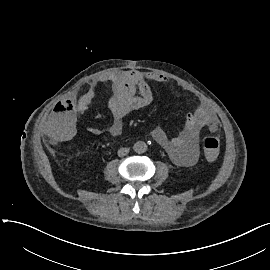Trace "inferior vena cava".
Wrapping results in <instances>:
<instances>
[{"mask_svg": "<svg viewBox=\"0 0 270 270\" xmlns=\"http://www.w3.org/2000/svg\"><path fill=\"white\" fill-rule=\"evenodd\" d=\"M129 153V148H120L118 150V156L123 157Z\"/></svg>", "mask_w": 270, "mask_h": 270, "instance_id": "obj_1", "label": "inferior vena cava"}]
</instances>
